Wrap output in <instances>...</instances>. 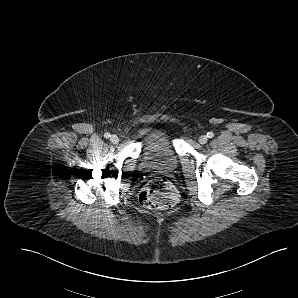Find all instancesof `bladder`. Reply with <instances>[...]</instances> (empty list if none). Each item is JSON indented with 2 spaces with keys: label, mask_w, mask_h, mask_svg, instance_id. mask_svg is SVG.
<instances>
[{
  "label": "bladder",
  "mask_w": 298,
  "mask_h": 298,
  "mask_svg": "<svg viewBox=\"0 0 298 298\" xmlns=\"http://www.w3.org/2000/svg\"><path fill=\"white\" fill-rule=\"evenodd\" d=\"M138 136L140 140L139 164L142 168L164 174L172 173L177 169L179 156L165 131L145 126L139 129Z\"/></svg>",
  "instance_id": "31cf9c89"
}]
</instances>
